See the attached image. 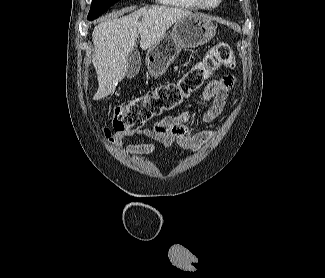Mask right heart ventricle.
<instances>
[{
    "instance_id": "obj_1",
    "label": "right heart ventricle",
    "mask_w": 325,
    "mask_h": 278,
    "mask_svg": "<svg viewBox=\"0 0 325 278\" xmlns=\"http://www.w3.org/2000/svg\"><path fill=\"white\" fill-rule=\"evenodd\" d=\"M162 4L174 6L188 10L205 9L198 0H156Z\"/></svg>"
}]
</instances>
